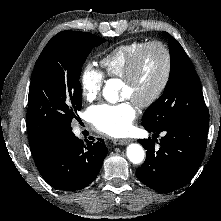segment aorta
I'll list each match as a JSON object with an SVG mask.
<instances>
[{"label": "aorta", "instance_id": "1", "mask_svg": "<svg viewBox=\"0 0 221 221\" xmlns=\"http://www.w3.org/2000/svg\"><path fill=\"white\" fill-rule=\"evenodd\" d=\"M116 91L111 83H107L104 90L103 95L108 101L116 100ZM126 155L129 161L133 164H140L143 162L145 158V152L143 147L140 144L132 143L127 147Z\"/></svg>", "mask_w": 221, "mask_h": 221}]
</instances>
